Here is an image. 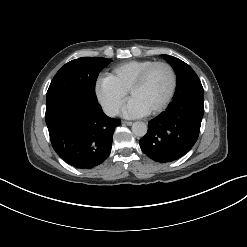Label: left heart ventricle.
<instances>
[{
    "mask_svg": "<svg viewBox=\"0 0 247 247\" xmlns=\"http://www.w3.org/2000/svg\"><path fill=\"white\" fill-rule=\"evenodd\" d=\"M171 87V74L165 66H156L147 76L142 86L131 93L148 112L159 106Z\"/></svg>",
    "mask_w": 247,
    "mask_h": 247,
    "instance_id": "obj_1",
    "label": "left heart ventricle"
}]
</instances>
